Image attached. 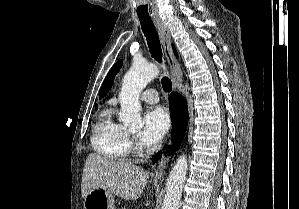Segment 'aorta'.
Instances as JSON below:
<instances>
[{
  "instance_id": "obj_1",
  "label": "aorta",
  "mask_w": 299,
  "mask_h": 209,
  "mask_svg": "<svg viewBox=\"0 0 299 209\" xmlns=\"http://www.w3.org/2000/svg\"><path fill=\"white\" fill-rule=\"evenodd\" d=\"M158 75L159 69L156 65L139 62H135L125 74L119 94L121 104L119 117L125 126L132 129L142 128L139 95L146 85ZM187 169V158L183 154L177 159L170 171L161 209H179Z\"/></svg>"
}]
</instances>
